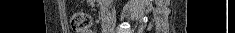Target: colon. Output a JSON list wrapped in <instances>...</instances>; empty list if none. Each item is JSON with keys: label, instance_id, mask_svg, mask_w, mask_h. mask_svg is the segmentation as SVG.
I'll list each match as a JSON object with an SVG mask.
<instances>
[{"label": "colon", "instance_id": "1", "mask_svg": "<svg viewBox=\"0 0 235 33\" xmlns=\"http://www.w3.org/2000/svg\"><path fill=\"white\" fill-rule=\"evenodd\" d=\"M70 26L74 33H87L90 31L91 18L82 11H75L70 15Z\"/></svg>", "mask_w": 235, "mask_h": 33}]
</instances>
